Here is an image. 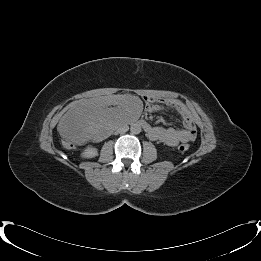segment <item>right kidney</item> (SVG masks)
Listing matches in <instances>:
<instances>
[{
	"instance_id": "right-kidney-1",
	"label": "right kidney",
	"mask_w": 261,
	"mask_h": 261,
	"mask_svg": "<svg viewBox=\"0 0 261 261\" xmlns=\"http://www.w3.org/2000/svg\"><path fill=\"white\" fill-rule=\"evenodd\" d=\"M96 155H97V149L94 148V147H88L82 153L83 158H91V157H94Z\"/></svg>"
}]
</instances>
